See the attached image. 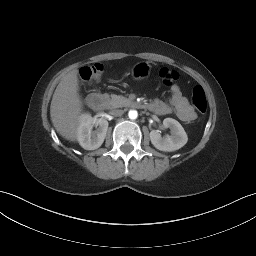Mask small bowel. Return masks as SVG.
I'll use <instances>...</instances> for the list:
<instances>
[{
	"label": "small bowel",
	"mask_w": 256,
	"mask_h": 256,
	"mask_svg": "<svg viewBox=\"0 0 256 256\" xmlns=\"http://www.w3.org/2000/svg\"><path fill=\"white\" fill-rule=\"evenodd\" d=\"M170 93L169 105L160 100H154L148 104L149 109L158 115L174 113L183 122L193 121L196 118V113L182 94L180 87L173 85Z\"/></svg>",
	"instance_id": "c3829d8e"
}]
</instances>
